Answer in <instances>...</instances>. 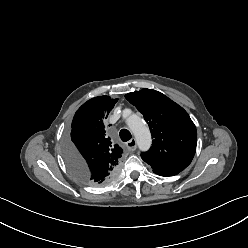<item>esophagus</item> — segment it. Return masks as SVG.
Wrapping results in <instances>:
<instances>
[{
  "mask_svg": "<svg viewBox=\"0 0 248 248\" xmlns=\"http://www.w3.org/2000/svg\"><path fill=\"white\" fill-rule=\"evenodd\" d=\"M136 144H137L136 139L132 138L126 143V146L129 151H135L137 147Z\"/></svg>",
  "mask_w": 248,
  "mask_h": 248,
  "instance_id": "obj_1",
  "label": "esophagus"
}]
</instances>
